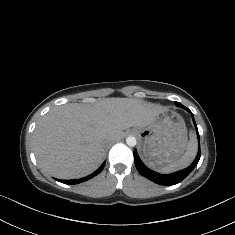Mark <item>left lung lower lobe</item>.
<instances>
[{
	"label": "left lung lower lobe",
	"instance_id": "obj_1",
	"mask_svg": "<svg viewBox=\"0 0 235 235\" xmlns=\"http://www.w3.org/2000/svg\"><path fill=\"white\" fill-rule=\"evenodd\" d=\"M184 109H186L188 112L192 114V112L188 108L185 107ZM192 118H193L194 125L196 127L197 136L199 139V133H198L197 125L195 123L193 114H192ZM200 156H201V153H200V147H199L197 157L189 167L181 171L172 173V174L164 175V174H159L157 172H154L150 170L149 168H147L143 164V162L140 160L136 150H134V161H135V165H136L138 172L144 177L148 178L149 180L159 185H168V186L177 184L181 182L183 179H185L192 172V170L197 166Z\"/></svg>",
	"mask_w": 235,
	"mask_h": 235
}]
</instances>
